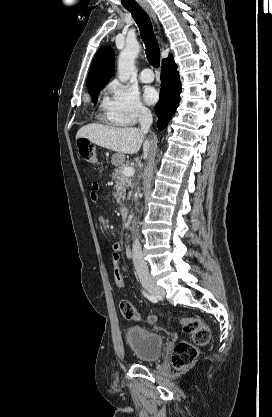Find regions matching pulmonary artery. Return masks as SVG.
<instances>
[{
    "label": "pulmonary artery",
    "mask_w": 272,
    "mask_h": 417,
    "mask_svg": "<svg viewBox=\"0 0 272 417\" xmlns=\"http://www.w3.org/2000/svg\"><path fill=\"white\" fill-rule=\"evenodd\" d=\"M139 79L143 82V83H150L154 80V75L151 69L149 68H144L140 75H139Z\"/></svg>",
    "instance_id": "pulmonary-artery-1"
}]
</instances>
